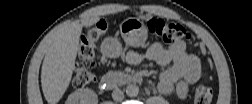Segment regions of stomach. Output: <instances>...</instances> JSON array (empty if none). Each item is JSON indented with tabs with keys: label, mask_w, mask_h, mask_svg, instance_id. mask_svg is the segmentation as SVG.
<instances>
[{
	"label": "stomach",
	"mask_w": 252,
	"mask_h": 104,
	"mask_svg": "<svg viewBox=\"0 0 252 104\" xmlns=\"http://www.w3.org/2000/svg\"><path fill=\"white\" fill-rule=\"evenodd\" d=\"M120 34L128 46L141 47L148 37L144 22L137 17H128L119 25ZM104 53L112 58L120 56L122 48L117 39L108 38L103 43Z\"/></svg>",
	"instance_id": "obj_1"
}]
</instances>
